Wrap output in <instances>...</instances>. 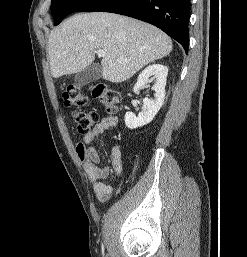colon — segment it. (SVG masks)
<instances>
[{
	"mask_svg": "<svg viewBox=\"0 0 247 257\" xmlns=\"http://www.w3.org/2000/svg\"><path fill=\"white\" fill-rule=\"evenodd\" d=\"M92 96L109 114H115L119 108V94L106 84L96 83L91 86ZM63 101L67 107H75L73 118L80 133H88L98 120V113L94 110H85L88 104L86 95L79 85H68L63 94Z\"/></svg>",
	"mask_w": 247,
	"mask_h": 257,
	"instance_id": "1",
	"label": "colon"
}]
</instances>
